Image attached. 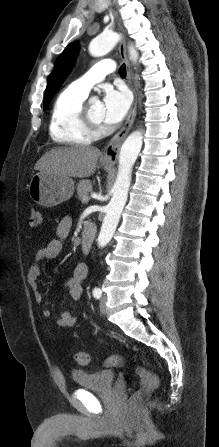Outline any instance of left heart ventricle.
<instances>
[{"mask_svg": "<svg viewBox=\"0 0 219 447\" xmlns=\"http://www.w3.org/2000/svg\"><path fill=\"white\" fill-rule=\"evenodd\" d=\"M89 112L91 117L97 121L102 122L103 120V107L101 104H91L89 105Z\"/></svg>", "mask_w": 219, "mask_h": 447, "instance_id": "1", "label": "left heart ventricle"}]
</instances>
